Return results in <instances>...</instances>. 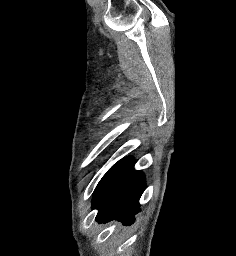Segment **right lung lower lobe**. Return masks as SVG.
I'll list each match as a JSON object with an SVG mask.
<instances>
[{
    "label": "right lung lower lobe",
    "mask_w": 236,
    "mask_h": 256,
    "mask_svg": "<svg viewBox=\"0 0 236 256\" xmlns=\"http://www.w3.org/2000/svg\"><path fill=\"white\" fill-rule=\"evenodd\" d=\"M133 166V158L122 159L98 183L92 200V207L98 209V223L118 220L129 225L134 221L140 211L139 199L145 189V177Z\"/></svg>",
    "instance_id": "1"
}]
</instances>
